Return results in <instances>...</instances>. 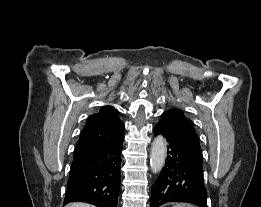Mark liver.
Instances as JSON below:
<instances>
[{"instance_id": "liver-1", "label": "liver", "mask_w": 261, "mask_h": 207, "mask_svg": "<svg viewBox=\"0 0 261 207\" xmlns=\"http://www.w3.org/2000/svg\"><path fill=\"white\" fill-rule=\"evenodd\" d=\"M66 207H95V206L86 203H71L68 204Z\"/></svg>"}]
</instances>
